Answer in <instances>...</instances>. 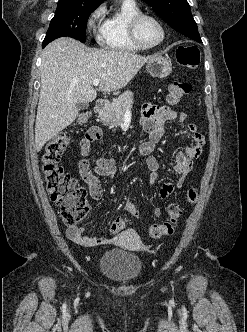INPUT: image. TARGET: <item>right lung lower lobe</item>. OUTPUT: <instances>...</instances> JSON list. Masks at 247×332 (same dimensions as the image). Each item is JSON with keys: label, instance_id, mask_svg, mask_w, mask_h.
Segmentation results:
<instances>
[{"label": "right lung lower lobe", "instance_id": "right-lung-lower-lobe-1", "mask_svg": "<svg viewBox=\"0 0 247 332\" xmlns=\"http://www.w3.org/2000/svg\"><path fill=\"white\" fill-rule=\"evenodd\" d=\"M62 37V34H49L46 35L43 43H42V47L44 48L49 42L53 41L56 38Z\"/></svg>", "mask_w": 247, "mask_h": 332}]
</instances>
